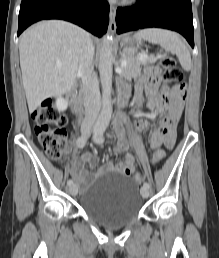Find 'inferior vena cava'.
<instances>
[{"label":"inferior vena cava","mask_w":219,"mask_h":258,"mask_svg":"<svg viewBox=\"0 0 219 258\" xmlns=\"http://www.w3.org/2000/svg\"><path fill=\"white\" fill-rule=\"evenodd\" d=\"M94 52L95 47L88 34L81 49L78 68L82 79L85 107L81 128L87 132H90L94 126L101 107L99 84L93 67Z\"/></svg>","instance_id":"inferior-vena-cava-1"}]
</instances>
